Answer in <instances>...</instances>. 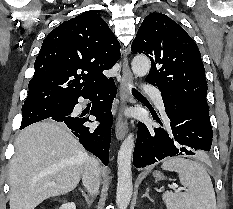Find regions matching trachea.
<instances>
[{
	"label": "trachea",
	"mask_w": 233,
	"mask_h": 209,
	"mask_svg": "<svg viewBox=\"0 0 233 209\" xmlns=\"http://www.w3.org/2000/svg\"><path fill=\"white\" fill-rule=\"evenodd\" d=\"M132 93L134 95H142L138 90H136L135 88L132 89Z\"/></svg>",
	"instance_id": "3493384b"
}]
</instances>
